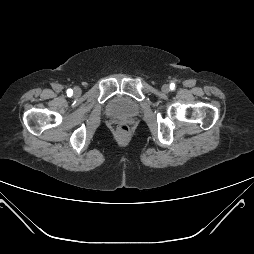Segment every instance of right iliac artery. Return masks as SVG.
<instances>
[{"instance_id": "82829eb1", "label": "right iliac artery", "mask_w": 254, "mask_h": 254, "mask_svg": "<svg viewBox=\"0 0 254 254\" xmlns=\"http://www.w3.org/2000/svg\"><path fill=\"white\" fill-rule=\"evenodd\" d=\"M72 94H73L72 89H68V90H67V95H68V96H71Z\"/></svg>"}]
</instances>
